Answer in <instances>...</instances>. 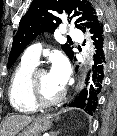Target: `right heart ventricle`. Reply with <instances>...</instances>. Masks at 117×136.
<instances>
[{"instance_id": "1", "label": "right heart ventricle", "mask_w": 117, "mask_h": 136, "mask_svg": "<svg viewBox=\"0 0 117 136\" xmlns=\"http://www.w3.org/2000/svg\"><path fill=\"white\" fill-rule=\"evenodd\" d=\"M36 64L22 60L14 71L9 85V101L18 112L29 114L38 110L29 93V81Z\"/></svg>"}]
</instances>
